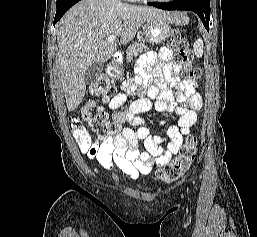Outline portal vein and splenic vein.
I'll return each instance as SVG.
<instances>
[{
  "label": "portal vein and splenic vein",
  "instance_id": "portal-vein-and-splenic-vein-1",
  "mask_svg": "<svg viewBox=\"0 0 257 237\" xmlns=\"http://www.w3.org/2000/svg\"><path fill=\"white\" fill-rule=\"evenodd\" d=\"M116 40V36L115 35H109L108 37H107V41H109V42H113V41H115Z\"/></svg>",
  "mask_w": 257,
  "mask_h": 237
}]
</instances>
